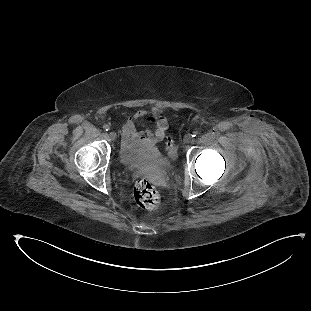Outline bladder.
I'll return each instance as SVG.
<instances>
[{"instance_id": "bladder-1", "label": "bladder", "mask_w": 311, "mask_h": 311, "mask_svg": "<svg viewBox=\"0 0 311 311\" xmlns=\"http://www.w3.org/2000/svg\"><path fill=\"white\" fill-rule=\"evenodd\" d=\"M122 158L126 164H135L140 171L152 172L155 168L162 169L169 166V160L161 151H156L142 157L131 158L128 154L122 153Z\"/></svg>"}]
</instances>
